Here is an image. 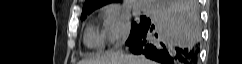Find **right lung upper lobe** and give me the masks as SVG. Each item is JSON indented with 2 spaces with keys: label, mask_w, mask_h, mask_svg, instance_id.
Listing matches in <instances>:
<instances>
[{
  "label": "right lung upper lobe",
  "mask_w": 242,
  "mask_h": 64,
  "mask_svg": "<svg viewBox=\"0 0 242 64\" xmlns=\"http://www.w3.org/2000/svg\"><path fill=\"white\" fill-rule=\"evenodd\" d=\"M115 0H86L83 6V13H91L93 10L99 8L102 5L111 3ZM119 1V0H116Z\"/></svg>",
  "instance_id": "cb5924a9"
}]
</instances>
